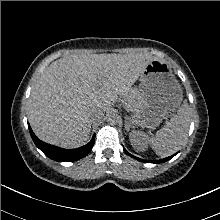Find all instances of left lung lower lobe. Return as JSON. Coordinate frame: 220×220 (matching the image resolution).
Listing matches in <instances>:
<instances>
[{"label":"left lung lower lobe","mask_w":220,"mask_h":220,"mask_svg":"<svg viewBox=\"0 0 220 220\" xmlns=\"http://www.w3.org/2000/svg\"><path fill=\"white\" fill-rule=\"evenodd\" d=\"M125 153L128 154L129 156L137 159L138 161H141V162H146V163H163V162H166L168 161L169 159H171L173 156H175L177 153H175L174 155L172 156H169L167 158H163V159H160V160H154V161H147V160H142V159H139L137 157H134L133 155L129 154L125 149H124Z\"/></svg>","instance_id":"1"}]
</instances>
